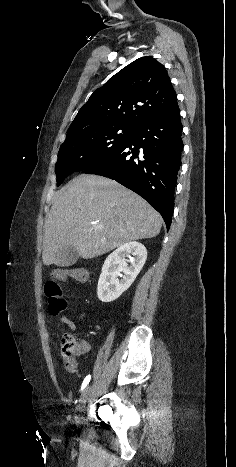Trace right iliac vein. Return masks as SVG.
I'll list each match as a JSON object with an SVG mask.
<instances>
[{"mask_svg": "<svg viewBox=\"0 0 236 467\" xmlns=\"http://www.w3.org/2000/svg\"><path fill=\"white\" fill-rule=\"evenodd\" d=\"M90 391H91V385H88V386L84 389V391H83V393H82V395H81V397H80L79 403H78V405H77L76 410H77L78 412H82V411L84 410L85 405H86V403H87V401H88V399H89ZM76 421H77V422H82V416H81L80 414H78V415L76 416Z\"/></svg>", "mask_w": 236, "mask_h": 467, "instance_id": "obj_1", "label": "right iliac vein"}]
</instances>
